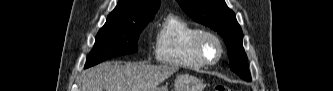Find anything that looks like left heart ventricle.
Masks as SVG:
<instances>
[{
	"instance_id": "1",
	"label": "left heart ventricle",
	"mask_w": 333,
	"mask_h": 91,
	"mask_svg": "<svg viewBox=\"0 0 333 91\" xmlns=\"http://www.w3.org/2000/svg\"><path fill=\"white\" fill-rule=\"evenodd\" d=\"M205 56L209 60H214L218 54V46L212 39H207L204 45Z\"/></svg>"
}]
</instances>
